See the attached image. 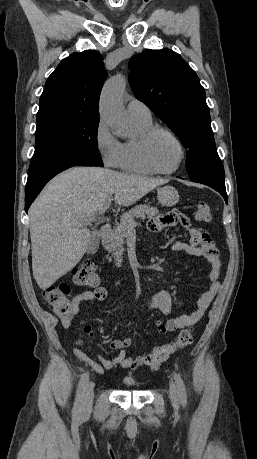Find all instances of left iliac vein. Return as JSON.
Returning <instances> with one entry per match:
<instances>
[{"instance_id": "left-iliac-vein-1", "label": "left iliac vein", "mask_w": 257, "mask_h": 459, "mask_svg": "<svg viewBox=\"0 0 257 459\" xmlns=\"http://www.w3.org/2000/svg\"><path fill=\"white\" fill-rule=\"evenodd\" d=\"M169 397H170L172 405L174 407H178L179 405L178 391L173 382H171L169 386Z\"/></svg>"}]
</instances>
